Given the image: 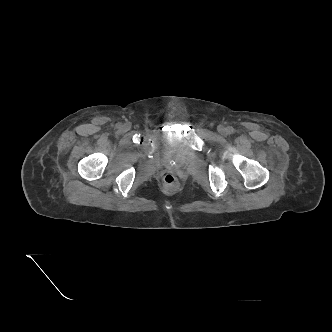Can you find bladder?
<instances>
[{"mask_svg": "<svg viewBox=\"0 0 332 332\" xmlns=\"http://www.w3.org/2000/svg\"><path fill=\"white\" fill-rule=\"evenodd\" d=\"M183 143L180 141L168 142L165 145L166 155L172 159L179 161L183 155Z\"/></svg>", "mask_w": 332, "mask_h": 332, "instance_id": "bladder-1", "label": "bladder"}]
</instances>
